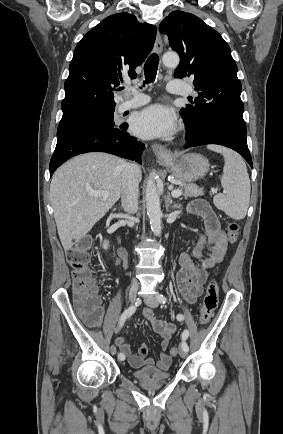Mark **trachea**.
I'll return each instance as SVG.
<instances>
[{
  "mask_svg": "<svg viewBox=\"0 0 283 434\" xmlns=\"http://www.w3.org/2000/svg\"><path fill=\"white\" fill-rule=\"evenodd\" d=\"M159 64V57L157 54H151L144 64V74H145V84L152 83L155 81L157 70ZM120 88V90H122Z\"/></svg>",
  "mask_w": 283,
  "mask_h": 434,
  "instance_id": "3493384b",
  "label": "trachea"
}]
</instances>
